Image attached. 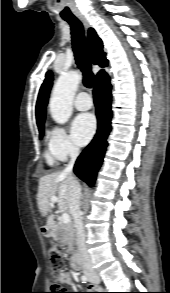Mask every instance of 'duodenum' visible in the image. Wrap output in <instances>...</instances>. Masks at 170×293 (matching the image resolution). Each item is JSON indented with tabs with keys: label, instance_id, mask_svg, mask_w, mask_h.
<instances>
[{
	"label": "duodenum",
	"instance_id": "1",
	"mask_svg": "<svg viewBox=\"0 0 170 293\" xmlns=\"http://www.w3.org/2000/svg\"><path fill=\"white\" fill-rule=\"evenodd\" d=\"M41 233L44 237H50L51 235V226H43L41 228ZM71 264H72V267L75 269V270H80L81 268V260H80V255L79 253L75 250L74 251V255H73V258L71 260Z\"/></svg>",
	"mask_w": 170,
	"mask_h": 293
}]
</instances>
